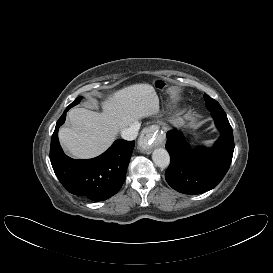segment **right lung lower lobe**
Returning a JSON list of instances; mask_svg holds the SVG:
<instances>
[{"label": "right lung lower lobe", "instance_id": "obj_1", "mask_svg": "<svg viewBox=\"0 0 273 273\" xmlns=\"http://www.w3.org/2000/svg\"><path fill=\"white\" fill-rule=\"evenodd\" d=\"M57 121L51 139L50 160L53 170L74 195L93 201H103L116 194L123 185L135 141L116 140L102 155L88 160H74L64 154L58 140V129L64 123L66 112Z\"/></svg>", "mask_w": 273, "mask_h": 273}]
</instances>
